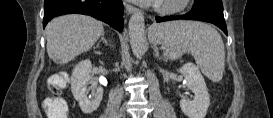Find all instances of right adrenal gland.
<instances>
[{"label": "right adrenal gland", "instance_id": "1", "mask_svg": "<svg viewBox=\"0 0 273 118\" xmlns=\"http://www.w3.org/2000/svg\"><path fill=\"white\" fill-rule=\"evenodd\" d=\"M105 32L102 33L101 40L97 43V46L100 45V42L103 41L106 45L108 44L107 40L104 38Z\"/></svg>", "mask_w": 273, "mask_h": 118}]
</instances>
